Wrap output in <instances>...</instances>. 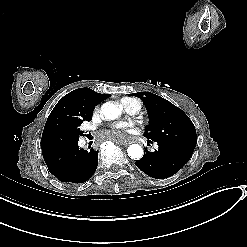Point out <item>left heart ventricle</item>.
I'll list each match as a JSON object with an SVG mask.
<instances>
[{"label":"left heart ventricle","instance_id":"left-heart-ventricle-1","mask_svg":"<svg viewBox=\"0 0 247 247\" xmlns=\"http://www.w3.org/2000/svg\"><path fill=\"white\" fill-rule=\"evenodd\" d=\"M117 125L127 134L131 150L136 152L138 150V140L135 135L134 121L130 118V116L124 115V117L117 122Z\"/></svg>","mask_w":247,"mask_h":247}]
</instances>
